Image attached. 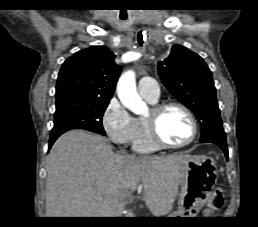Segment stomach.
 Masks as SVG:
<instances>
[{"label": "stomach", "mask_w": 258, "mask_h": 227, "mask_svg": "<svg viewBox=\"0 0 258 227\" xmlns=\"http://www.w3.org/2000/svg\"><path fill=\"white\" fill-rule=\"evenodd\" d=\"M178 209L168 217H192L208 200L217 183V168L207 156H191L180 166Z\"/></svg>", "instance_id": "stomach-1"}]
</instances>
